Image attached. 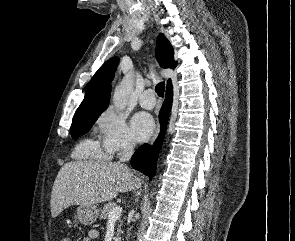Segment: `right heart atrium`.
I'll return each mask as SVG.
<instances>
[{
  "instance_id": "d8ad5b80",
  "label": "right heart atrium",
  "mask_w": 295,
  "mask_h": 241,
  "mask_svg": "<svg viewBox=\"0 0 295 241\" xmlns=\"http://www.w3.org/2000/svg\"><path fill=\"white\" fill-rule=\"evenodd\" d=\"M93 129L102 149L110 157L135 145L125 117L113 108H107L97 116Z\"/></svg>"
}]
</instances>
